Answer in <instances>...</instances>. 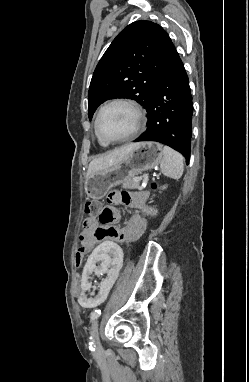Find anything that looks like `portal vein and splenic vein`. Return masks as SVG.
Listing matches in <instances>:
<instances>
[{"mask_svg":"<svg viewBox=\"0 0 249 382\" xmlns=\"http://www.w3.org/2000/svg\"><path fill=\"white\" fill-rule=\"evenodd\" d=\"M146 177H147V174H145V175H143L141 177H137V178H135V180L136 181H140V180H142V178H146Z\"/></svg>","mask_w":249,"mask_h":382,"instance_id":"18ae733b","label":"portal vein and splenic vein"}]
</instances>
